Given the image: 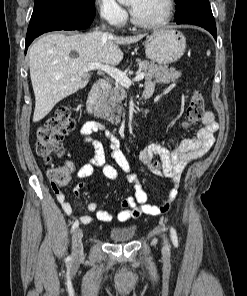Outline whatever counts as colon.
Instances as JSON below:
<instances>
[{
  "mask_svg": "<svg viewBox=\"0 0 247 296\" xmlns=\"http://www.w3.org/2000/svg\"><path fill=\"white\" fill-rule=\"evenodd\" d=\"M205 104L202 93L195 89L185 111L184 127L189 128L204 114ZM76 126V118L67 107H61L47 118L36 131V153L45 162L51 163L63 154L64 136ZM48 177L53 185L64 186L71 180V171L66 166H51Z\"/></svg>",
  "mask_w": 247,
  "mask_h": 296,
  "instance_id": "1",
  "label": "colon"
}]
</instances>
